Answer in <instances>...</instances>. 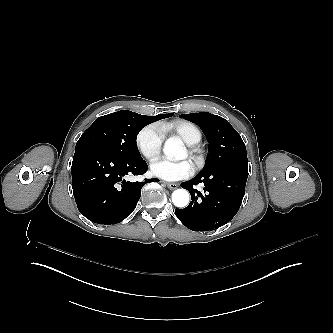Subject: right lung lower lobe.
<instances>
[{"label": "right lung lower lobe", "mask_w": 333, "mask_h": 333, "mask_svg": "<svg viewBox=\"0 0 333 333\" xmlns=\"http://www.w3.org/2000/svg\"><path fill=\"white\" fill-rule=\"evenodd\" d=\"M148 170L141 159L118 157L94 144L76 145L72 162V188L78 210L98 224H116L135 209L144 184L126 181L127 175H142Z\"/></svg>", "instance_id": "98d812e1"}]
</instances>
